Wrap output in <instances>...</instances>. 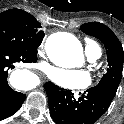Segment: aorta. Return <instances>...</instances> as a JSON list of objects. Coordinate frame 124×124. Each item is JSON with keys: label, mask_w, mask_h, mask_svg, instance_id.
<instances>
[{"label": "aorta", "mask_w": 124, "mask_h": 124, "mask_svg": "<svg viewBox=\"0 0 124 124\" xmlns=\"http://www.w3.org/2000/svg\"><path fill=\"white\" fill-rule=\"evenodd\" d=\"M45 49L49 59L60 67H74L83 58L80 41L66 32L50 35L46 40Z\"/></svg>", "instance_id": "aorta-1"}]
</instances>
